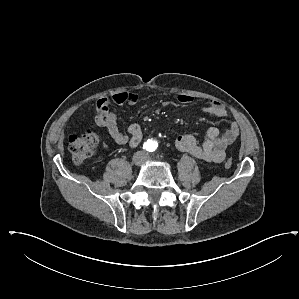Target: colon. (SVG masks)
I'll use <instances>...</instances> for the list:
<instances>
[{
	"mask_svg": "<svg viewBox=\"0 0 299 299\" xmlns=\"http://www.w3.org/2000/svg\"><path fill=\"white\" fill-rule=\"evenodd\" d=\"M99 142V136L94 129H88L84 134L72 135L69 138V149L72 161L75 165H81L87 161L94 152ZM233 164V160L228 158L225 160V167L229 168Z\"/></svg>",
	"mask_w": 299,
	"mask_h": 299,
	"instance_id": "colon-1",
	"label": "colon"
}]
</instances>
